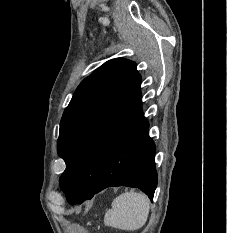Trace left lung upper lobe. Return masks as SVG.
<instances>
[{"label":"left lung upper lobe","mask_w":227,"mask_h":233,"mask_svg":"<svg viewBox=\"0 0 227 233\" xmlns=\"http://www.w3.org/2000/svg\"><path fill=\"white\" fill-rule=\"evenodd\" d=\"M141 76L133 61H107L77 87L60 122L57 150L66 163L67 200L90 193L126 133L143 116Z\"/></svg>","instance_id":"obj_1"}]
</instances>
